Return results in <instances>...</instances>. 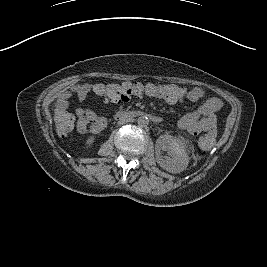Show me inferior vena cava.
Here are the masks:
<instances>
[{
  "instance_id": "obj_1",
  "label": "inferior vena cava",
  "mask_w": 267,
  "mask_h": 267,
  "mask_svg": "<svg viewBox=\"0 0 267 267\" xmlns=\"http://www.w3.org/2000/svg\"><path fill=\"white\" fill-rule=\"evenodd\" d=\"M127 122H130V119H121L120 121H118V124L119 125H123V124H125Z\"/></svg>"
}]
</instances>
